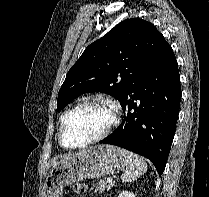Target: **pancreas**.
Wrapping results in <instances>:
<instances>
[{
	"mask_svg": "<svg viewBox=\"0 0 209 197\" xmlns=\"http://www.w3.org/2000/svg\"><path fill=\"white\" fill-rule=\"evenodd\" d=\"M113 186L112 183H108L105 179H100L97 183L94 184L95 192L101 193L104 191H108Z\"/></svg>",
	"mask_w": 209,
	"mask_h": 197,
	"instance_id": "cf45deb5",
	"label": "pancreas"
}]
</instances>
